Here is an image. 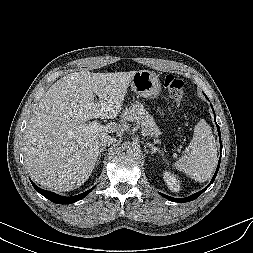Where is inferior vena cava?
<instances>
[{
	"label": "inferior vena cava",
	"mask_w": 253,
	"mask_h": 253,
	"mask_svg": "<svg viewBox=\"0 0 253 253\" xmlns=\"http://www.w3.org/2000/svg\"><path fill=\"white\" fill-rule=\"evenodd\" d=\"M115 138L111 137V136H102L100 138V141H99V145L101 146H106V145H111L113 143H115Z\"/></svg>",
	"instance_id": "obj_1"
}]
</instances>
